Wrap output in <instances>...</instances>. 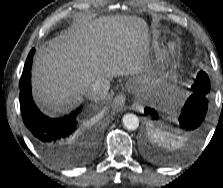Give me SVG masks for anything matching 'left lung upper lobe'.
Instances as JSON below:
<instances>
[{
	"mask_svg": "<svg viewBox=\"0 0 223 188\" xmlns=\"http://www.w3.org/2000/svg\"><path fill=\"white\" fill-rule=\"evenodd\" d=\"M193 93H199L208 96L210 91V81L208 75L204 71H200L192 85ZM147 133L150 136H156L160 140L161 146H155L145 149V155L156 163H169L174 161L178 154L185 151L190 145L191 139L187 137H179L177 135H167L160 132L155 127L148 128Z\"/></svg>",
	"mask_w": 223,
	"mask_h": 188,
	"instance_id": "left-lung-upper-lobe-1",
	"label": "left lung upper lobe"
}]
</instances>
